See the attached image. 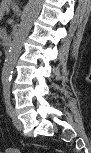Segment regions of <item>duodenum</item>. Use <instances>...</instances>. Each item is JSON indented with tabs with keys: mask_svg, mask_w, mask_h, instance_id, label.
Listing matches in <instances>:
<instances>
[{
	"mask_svg": "<svg viewBox=\"0 0 91 153\" xmlns=\"http://www.w3.org/2000/svg\"><path fill=\"white\" fill-rule=\"evenodd\" d=\"M3 45H4V52L8 53L11 46H12V40L9 37H4L3 38Z\"/></svg>",
	"mask_w": 91,
	"mask_h": 153,
	"instance_id": "1",
	"label": "duodenum"
}]
</instances>
